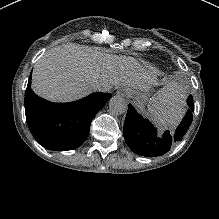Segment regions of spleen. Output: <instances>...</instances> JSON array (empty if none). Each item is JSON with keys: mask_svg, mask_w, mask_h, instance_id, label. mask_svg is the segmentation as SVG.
Listing matches in <instances>:
<instances>
[{"mask_svg": "<svg viewBox=\"0 0 219 219\" xmlns=\"http://www.w3.org/2000/svg\"><path fill=\"white\" fill-rule=\"evenodd\" d=\"M180 113L181 109L163 107L152 113L150 119L158 128L161 126L171 127L181 116Z\"/></svg>", "mask_w": 219, "mask_h": 219, "instance_id": "spleen-1", "label": "spleen"}]
</instances>
